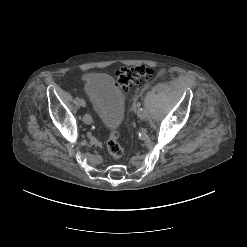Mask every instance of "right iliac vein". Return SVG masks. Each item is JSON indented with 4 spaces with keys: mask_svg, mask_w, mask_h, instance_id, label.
<instances>
[{
    "mask_svg": "<svg viewBox=\"0 0 247 247\" xmlns=\"http://www.w3.org/2000/svg\"><path fill=\"white\" fill-rule=\"evenodd\" d=\"M83 121L86 124H90L92 122V117L89 114H85L84 117H83Z\"/></svg>",
    "mask_w": 247,
    "mask_h": 247,
    "instance_id": "right-iliac-vein-1",
    "label": "right iliac vein"
}]
</instances>
